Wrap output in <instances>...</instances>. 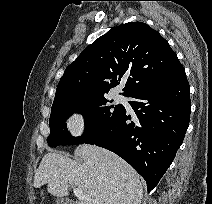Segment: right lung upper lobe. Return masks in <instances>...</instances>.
I'll return each instance as SVG.
<instances>
[{
    "mask_svg": "<svg viewBox=\"0 0 212 204\" xmlns=\"http://www.w3.org/2000/svg\"><path fill=\"white\" fill-rule=\"evenodd\" d=\"M184 72L167 40L143 22L120 25L87 46L65 70L52 109L105 96L128 75L123 95L171 81Z\"/></svg>",
    "mask_w": 212,
    "mask_h": 204,
    "instance_id": "1",
    "label": "right lung upper lobe"
}]
</instances>
